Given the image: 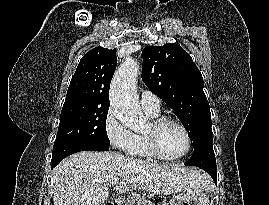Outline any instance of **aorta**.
Masks as SVG:
<instances>
[{
  "label": "aorta",
  "instance_id": "aorta-1",
  "mask_svg": "<svg viewBox=\"0 0 269 205\" xmlns=\"http://www.w3.org/2000/svg\"><path fill=\"white\" fill-rule=\"evenodd\" d=\"M139 64L126 58L116 71L110 88V104L115 117L124 125L137 129L144 122L135 91Z\"/></svg>",
  "mask_w": 269,
  "mask_h": 205
}]
</instances>
